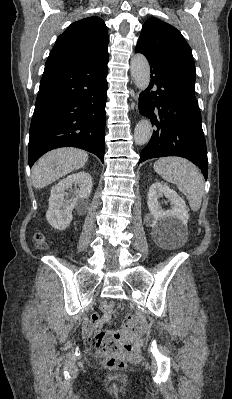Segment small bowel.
Returning a JSON list of instances; mask_svg holds the SVG:
<instances>
[{"label": "small bowel", "mask_w": 232, "mask_h": 399, "mask_svg": "<svg viewBox=\"0 0 232 399\" xmlns=\"http://www.w3.org/2000/svg\"><path fill=\"white\" fill-rule=\"evenodd\" d=\"M113 309L112 303L103 301L100 306V314H95L90 322H78L77 327L86 331L94 332L102 329L104 323L111 319V311Z\"/></svg>", "instance_id": "small-bowel-1"}]
</instances>
